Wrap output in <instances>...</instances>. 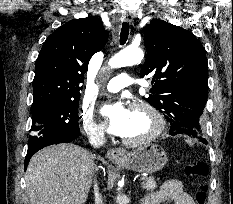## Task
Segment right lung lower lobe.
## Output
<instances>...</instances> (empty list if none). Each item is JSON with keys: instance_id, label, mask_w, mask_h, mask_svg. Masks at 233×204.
Returning a JSON list of instances; mask_svg holds the SVG:
<instances>
[{"instance_id": "obj_1", "label": "right lung lower lobe", "mask_w": 233, "mask_h": 204, "mask_svg": "<svg viewBox=\"0 0 233 204\" xmlns=\"http://www.w3.org/2000/svg\"><path fill=\"white\" fill-rule=\"evenodd\" d=\"M79 136H62V137H58L56 139H54L53 141H51L48 145H52V144H57V143H65V142H71L75 139H77ZM46 145V146H48ZM37 151H27V155L25 157V170L28 166L29 160L30 158L36 153Z\"/></svg>"}]
</instances>
